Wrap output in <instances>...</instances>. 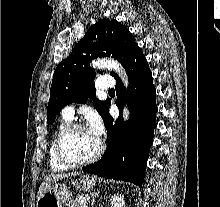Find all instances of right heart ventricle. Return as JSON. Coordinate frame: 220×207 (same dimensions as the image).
I'll return each mask as SVG.
<instances>
[{
	"label": "right heart ventricle",
	"instance_id": "e07e8e85",
	"mask_svg": "<svg viewBox=\"0 0 220 207\" xmlns=\"http://www.w3.org/2000/svg\"><path fill=\"white\" fill-rule=\"evenodd\" d=\"M70 119L63 117L62 121L59 123V125L57 126V129L53 135L52 141L50 143V147H49V164L50 167L54 170V171H63L68 169L67 166L63 165L62 163H60L56 157L55 154V140L56 137L58 136V134L60 133V131L69 123Z\"/></svg>",
	"mask_w": 220,
	"mask_h": 207
}]
</instances>
